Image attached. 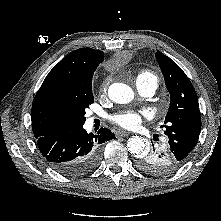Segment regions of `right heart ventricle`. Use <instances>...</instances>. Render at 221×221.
<instances>
[{
	"instance_id": "e07e8e85",
	"label": "right heart ventricle",
	"mask_w": 221,
	"mask_h": 221,
	"mask_svg": "<svg viewBox=\"0 0 221 221\" xmlns=\"http://www.w3.org/2000/svg\"><path fill=\"white\" fill-rule=\"evenodd\" d=\"M139 80H151L157 83V77L148 70H142L137 75V81Z\"/></svg>"
}]
</instances>
